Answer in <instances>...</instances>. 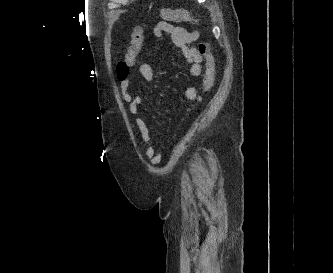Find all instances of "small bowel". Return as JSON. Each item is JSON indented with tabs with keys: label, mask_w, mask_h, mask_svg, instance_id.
I'll list each match as a JSON object with an SVG mask.
<instances>
[{
	"label": "small bowel",
	"mask_w": 333,
	"mask_h": 273,
	"mask_svg": "<svg viewBox=\"0 0 333 273\" xmlns=\"http://www.w3.org/2000/svg\"><path fill=\"white\" fill-rule=\"evenodd\" d=\"M162 17V16H161ZM154 33L156 37L162 39L165 34H168L173 42V44L180 48L187 63L189 64L190 73L194 77H198L201 74V62L202 58L197 53L195 42L199 37V33L197 31H187L181 26H176L172 23H162L159 22L154 29ZM142 46V45H141ZM140 49L135 54L137 56V61L132 62L129 72L125 78L120 79V90L122 94V98L125 102L128 103L129 112L134 118V123L141 134L142 140L146 145L145 156L151 161L152 164H157L161 160L160 154H158L151 144L149 130L148 127L143 120L139 116V106L141 104V98L139 96H135L130 91L131 80L130 73L133 68H137L141 77L146 81H151L153 79V69L152 67L138 59ZM129 53V48L127 50L126 55ZM119 75V73H118ZM185 97L187 101L194 102L199 100V89L197 87H189L186 90Z\"/></svg>",
	"instance_id": "c3829d8e"
}]
</instances>
